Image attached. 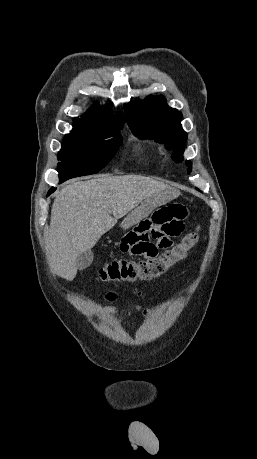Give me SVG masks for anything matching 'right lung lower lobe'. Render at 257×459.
<instances>
[{
  "instance_id": "right-lung-lower-lobe-1",
  "label": "right lung lower lobe",
  "mask_w": 257,
  "mask_h": 459,
  "mask_svg": "<svg viewBox=\"0 0 257 459\" xmlns=\"http://www.w3.org/2000/svg\"><path fill=\"white\" fill-rule=\"evenodd\" d=\"M60 181L63 182L64 180H63V179H60ZM54 190H55L54 188L50 189L49 194L52 193ZM49 194H48V195H49Z\"/></svg>"
}]
</instances>
